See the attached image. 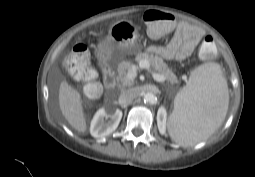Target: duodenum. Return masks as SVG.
I'll list each match as a JSON object with an SVG mask.
<instances>
[{"instance_id":"duodenum-1","label":"duodenum","mask_w":255,"mask_h":177,"mask_svg":"<svg viewBox=\"0 0 255 177\" xmlns=\"http://www.w3.org/2000/svg\"><path fill=\"white\" fill-rule=\"evenodd\" d=\"M102 71H103V79H104V84L108 90H114L116 86V80L114 73L109 66V64L102 59V65H101Z\"/></svg>"}]
</instances>
